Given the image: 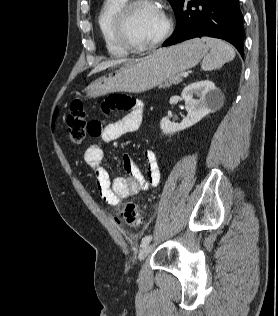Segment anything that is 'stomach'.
Masks as SVG:
<instances>
[{"label":"stomach","instance_id":"obj_1","mask_svg":"<svg viewBox=\"0 0 278 316\" xmlns=\"http://www.w3.org/2000/svg\"><path fill=\"white\" fill-rule=\"evenodd\" d=\"M208 47L193 39L169 48L154 50L149 55L127 62L118 70L90 83L85 91L90 97L111 92L141 93L169 77L196 66Z\"/></svg>","mask_w":278,"mask_h":316}]
</instances>
